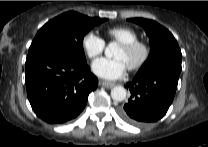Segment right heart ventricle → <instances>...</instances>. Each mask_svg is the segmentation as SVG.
I'll use <instances>...</instances> for the list:
<instances>
[{"instance_id": "e07e8e85", "label": "right heart ventricle", "mask_w": 208, "mask_h": 147, "mask_svg": "<svg viewBox=\"0 0 208 147\" xmlns=\"http://www.w3.org/2000/svg\"><path fill=\"white\" fill-rule=\"evenodd\" d=\"M107 36L110 41L117 43H126L138 39L137 32L127 26L112 27L107 30Z\"/></svg>"}]
</instances>
